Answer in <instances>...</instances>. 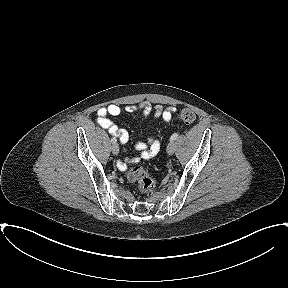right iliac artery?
<instances>
[{
  "label": "right iliac artery",
  "mask_w": 288,
  "mask_h": 288,
  "mask_svg": "<svg viewBox=\"0 0 288 288\" xmlns=\"http://www.w3.org/2000/svg\"><path fill=\"white\" fill-rule=\"evenodd\" d=\"M111 142L114 144V143L117 142V139H116V138H112V139H111Z\"/></svg>",
  "instance_id": "right-iliac-artery-1"
}]
</instances>
